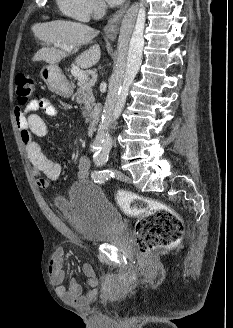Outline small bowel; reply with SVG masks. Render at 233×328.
Segmentation results:
<instances>
[{
    "instance_id": "small-bowel-1",
    "label": "small bowel",
    "mask_w": 233,
    "mask_h": 328,
    "mask_svg": "<svg viewBox=\"0 0 233 328\" xmlns=\"http://www.w3.org/2000/svg\"><path fill=\"white\" fill-rule=\"evenodd\" d=\"M42 110L47 116L55 117L58 114L57 107L46 98L33 99L22 110L15 108V119L20 136L25 147L28 159L33 167V174L37 184L46 188L50 181L56 180L61 173V166L50 160L42 151L35 137L47 135L48 129L44 120L37 114ZM90 161L88 157L81 156L77 161V177L85 179L88 175ZM65 252L57 249L51 255L49 261L50 278L56 288L58 296L71 304H86L92 301L97 293L98 280L90 264L82 266V272L86 278L87 290L84 292L81 285L75 279L70 280L68 287L64 285L65 271L63 269Z\"/></svg>"
}]
</instances>
